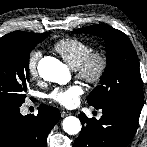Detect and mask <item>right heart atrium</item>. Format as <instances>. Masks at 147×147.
Listing matches in <instances>:
<instances>
[{"mask_svg":"<svg viewBox=\"0 0 147 147\" xmlns=\"http://www.w3.org/2000/svg\"><path fill=\"white\" fill-rule=\"evenodd\" d=\"M40 58H41V52L39 50L31 51L28 56L27 71L32 78H35L38 76V63Z\"/></svg>","mask_w":147,"mask_h":147,"instance_id":"right-heart-atrium-1","label":"right heart atrium"}]
</instances>
